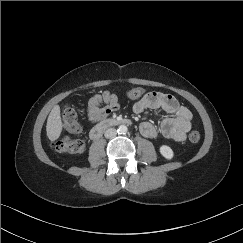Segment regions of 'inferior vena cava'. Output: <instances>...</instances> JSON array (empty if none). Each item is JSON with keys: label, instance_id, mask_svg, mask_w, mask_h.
I'll return each instance as SVG.
<instances>
[{"label": "inferior vena cava", "instance_id": "inferior-vena-cava-1", "mask_svg": "<svg viewBox=\"0 0 243 243\" xmlns=\"http://www.w3.org/2000/svg\"><path fill=\"white\" fill-rule=\"evenodd\" d=\"M117 135V131L115 128H109L105 131L104 136L108 139L114 138Z\"/></svg>", "mask_w": 243, "mask_h": 243}]
</instances>
